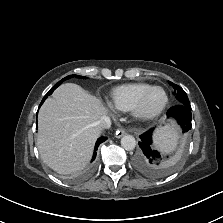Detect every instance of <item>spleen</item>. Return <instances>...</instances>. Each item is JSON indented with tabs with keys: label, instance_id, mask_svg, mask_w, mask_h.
<instances>
[{
	"label": "spleen",
	"instance_id": "obj_1",
	"mask_svg": "<svg viewBox=\"0 0 223 223\" xmlns=\"http://www.w3.org/2000/svg\"><path fill=\"white\" fill-rule=\"evenodd\" d=\"M156 148L164 153L173 152L178 144L179 133L176 127H168L156 133L153 137Z\"/></svg>",
	"mask_w": 223,
	"mask_h": 223
}]
</instances>
